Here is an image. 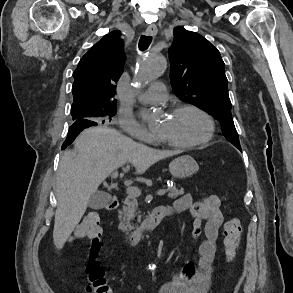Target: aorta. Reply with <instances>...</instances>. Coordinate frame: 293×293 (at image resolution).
I'll list each match as a JSON object with an SVG mask.
<instances>
[{"label":"aorta","mask_w":293,"mask_h":293,"mask_svg":"<svg viewBox=\"0 0 293 293\" xmlns=\"http://www.w3.org/2000/svg\"><path fill=\"white\" fill-rule=\"evenodd\" d=\"M165 66L166 60L162 55L152 53L145 55L143 58H141L138 69L135 73V83H137L139 87L147 85L161 76ZM142 118L144 121L150 123L153 120V115L148 110H143Z\"/></svg>","instance_id":"aorta-1"}]
</instances>
